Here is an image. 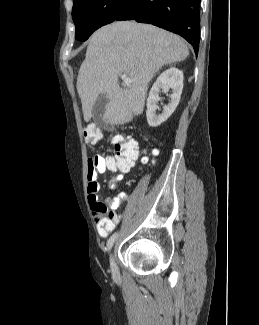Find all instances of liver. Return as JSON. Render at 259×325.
<instances>
[{
    "label": "liver",
    "instance_id": "obj_1",
    "mask_svg": "<svg viewBox=\"0 0 259 325\" xmlns=\"http://www.w3.org/2000/svg\"><path fill=\"white\" fill-rule=\"evenodd\" d=\"M188 55V47L178 35L154 25L117 21L101 27L90 38L77 77L84 120L91 119L96 100L105 95V123L132 121L143 112L148 84L155 73ZM121 75L133 81L120 87Z\"/></svg>",
    "mask_w": 259,
    "mask_h": 325
}]
</instances>
